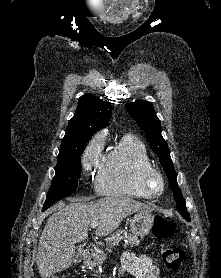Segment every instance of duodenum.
Listing matches in <instances>:
<instances>
[{
  "mask_svg": "<svg viewBox=\"0 0 221 278\" xmlns=\"http://www.w3.org/2000/svg\"><path fill=\"white\" fill-rule=\"evenodd\" d=\"M97 252H98V249L94 244H89L86 247V258H87L89 263H91V261L93 259H95V255H96Z\"/></svg>",
  "mask_w": 221,
  "mask_h": 278,
  "instance_id": "1",
  "label": "duodenum"
}]
</instances>
